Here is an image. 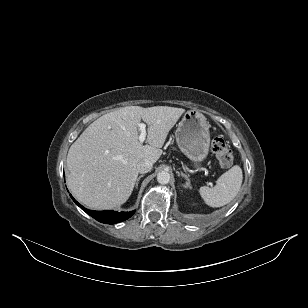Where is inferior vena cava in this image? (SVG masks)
Masks as SVG:
<instances>
[{
  "mask_svg": "<svg viewBox=\"0 0 308 308\" xmlns=\"http://www.w3.org/2000/svg\"><path fill=\"white\" fill-rule=\"evenodd\" d=\"M153 162L148 159H143L137 164V170L139 173H147L152 169Z\"/></svg>",
  "mask_w": 308,
  "mask_h": 308,
  "instance_id": "1",
  "label": "inferior vena cava"
}]
</instances>
